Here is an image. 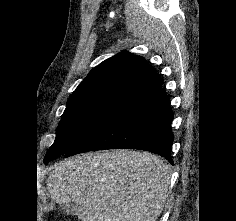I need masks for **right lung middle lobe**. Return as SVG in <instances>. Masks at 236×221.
<instances>
[{"instance_id":"1","label":"right lung middle lobe","mask_w":236,"mask_h":221,"mask_svg":"<svg viewBox=\"0 0 236 221\" xmlns=\"http://www.w3.org/2000/svg\"><path fill=\"white\" fill-rule=\"evenodd\" d=\"M134 95L128 91L96 92L68 101L55 142L49 148L44 162L66 154Z\"/></svg>"}]
</instances>
